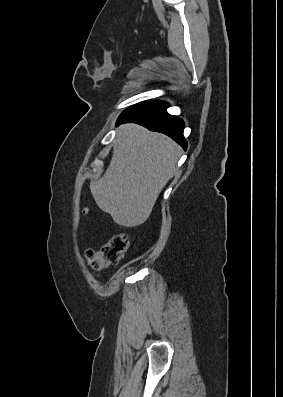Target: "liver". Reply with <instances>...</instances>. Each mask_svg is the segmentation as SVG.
I'll list each match as a JSON object with an SVG mask.
<instances>
[{
    "mask_svg": "<svg viewBox=\"0 0 283 397\" xmlns=\"http://www.w3.org/2000/svg\"><path fill=\"white\" fill-rule=\"evenodd\" d=\"M180 151L164 134L136 124L120 126L105 174L90 183L96 204L118 225L131 228L143 224L173 177Z\"/></svg>",
    "mask_w": 283,
    "mask_h": 397,
    "instance_id": "liver-1",
    "label": "liver"
}]
</instances>
